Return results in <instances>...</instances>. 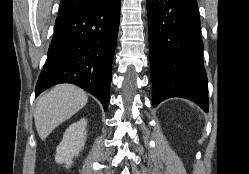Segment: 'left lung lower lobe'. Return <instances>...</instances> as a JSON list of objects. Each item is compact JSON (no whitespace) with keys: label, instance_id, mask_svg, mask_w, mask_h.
Returning a JSON list of instances; mask_svg holds the SVG:
<instances>
[{"label":"left lung lower lobe","instance_id":"1","mask_svg":"<svg viewBox=\"0 0 249 174\" xmlns=\"http://www.w3.org/2000/svg\"><path fill=\"white\" fill-rule=\"evenodd\" d=\"M153 106L183 97L208 111V81L197 2L147 0Z\"/></svg>","mask_w":249,"mask_h":174}]
</instances>
